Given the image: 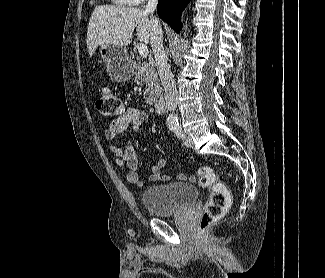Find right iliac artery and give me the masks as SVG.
<instances>
[{"instance_id": "right-iliac-artery-1", "label": "right iliac artery", "mask_w": 325, "mask_h": 278, "mask_svg": "<svg viewBox=\"0 0 325 278\" xmlns=\"http://www.w3.org/2000/svg\"><path fill=\"white\" fill-rule=\"evenodd\" d=\"M173 127V125H169V128L171 129Z\"/></svg>"}]
</instances>
